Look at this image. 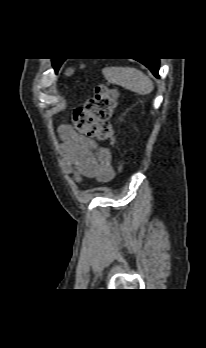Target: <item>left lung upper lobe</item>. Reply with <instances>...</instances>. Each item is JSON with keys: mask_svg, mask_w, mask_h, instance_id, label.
<instances>
[{"mask_svg": "<svg viewBox=\"0 0 206 348\" xmlns=\"http://www.w3.org/2000/svg\"><path fill=\"white\" fill-rule=\"evenodd\" d=\"M52 63L55 71H58L60 65L63 63V60L53 59Z\"/></svg>", "mask_w": 206, "mask_h": 348, "instance_id": "5c2ea615", "label": "left lung upper lobe"}]
</instances>
